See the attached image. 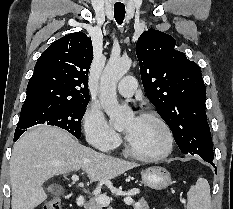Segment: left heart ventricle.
<instances>
[{
	"label": "left heart ventricle",
	"mask_w": 233,
	"mask_h": 209,
	"mask_svg": "<svg viewBox=\"0 0 233 209\" xmlns=\"http://www.w3.org/2000/svg\"><path fill=\"white\" fill-rule=\"evenodd\" d=\"M127 140L131 147L145 155L160 153L166 144V137L161 126L153 119L131 117L125 124Z\"/></svg>",
	"instance_id": "obj_1"
}]
</instances>
